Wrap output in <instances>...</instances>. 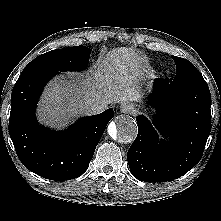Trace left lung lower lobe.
I'll return each instance as SVG.
<instances>
[{"label":"left lung lower lobe","mask_w":221,"mask_h":221,"mask_svg":"<svg viewBox=\"0 0 221 221\" xmlns=\"http://www.w3.org/2000/svg\"><path fill=\"white\" fill-rule=\"evenodd\" d=\"M206 82L170 85L156 79L150 104L157 108L152 124L136 118L138 135L127 153L133 176L146 182L179 178L201 159L211 130V100ZM170 141L159 140L155 127Z\"/></svg>","instance_id":"left-lung-lower-lobe-1"}]
</instances>
